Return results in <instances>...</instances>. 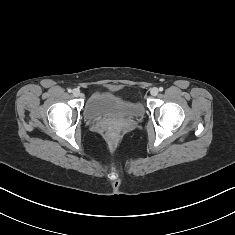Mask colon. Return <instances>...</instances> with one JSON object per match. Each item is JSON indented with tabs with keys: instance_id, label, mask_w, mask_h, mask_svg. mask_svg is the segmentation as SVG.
<instances>
[{
	"instance_id": "5ec220e1",
	"label": "colon",
	"mask_w": 235,
	"mask_h": 235,
	"mask_svg": "<svg viewBox=\"0 0 235 235\" xmlns=\"http://www.w3.org/2000/svg\"><path fill=\"white\" fill-rule=\"evenodd\" d=\"M107 130H108L111 134H113V133H114L113 128H111L110 126H107Z\"/></svg>"
}]
</instances>
